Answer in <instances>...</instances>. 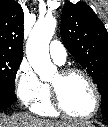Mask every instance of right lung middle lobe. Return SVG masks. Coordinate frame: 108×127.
I'll return each instance as SVG.
<instances>
[{"label":"right lung middle lobe","instance_id":"1","mask_svg":"<svg viewBox=\"0 0 108 127\" xmlns=\"http://www.w3.org/2000/svg\"><path fill=\"white\" fill-rule=\"evenodd\" d=\"M23 56L0 52V87L14 91L17 70Z\"/></svg>","mask_w":108,"mask_h":127}]
</instances>
